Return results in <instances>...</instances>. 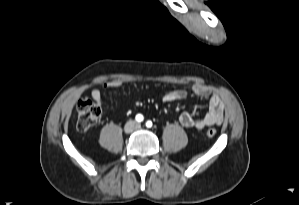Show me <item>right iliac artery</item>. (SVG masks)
Masks as SVG:
<instances>
[{
  "label": "right iliac artery",
  "mask_w": 299,
  "mask_h": 205,
  "mask_svg": "<svg viewBox=\"0 0 299 205\" xmlns=\"http://www.w3.org/2000/svg\"><path fill=\"white\" fill-rule=\"evenodd\" d=\"M135 119L137 122H142L144 118H143V115L138 114V115H136Z\"/></svg>",
  "instance_id": "obj_1"
}]
</instances>
